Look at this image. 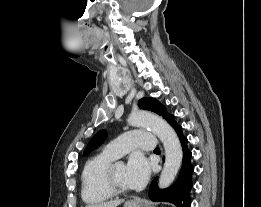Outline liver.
Segmentation results:
<instances>
[{
	"mask_svg": "<svg viewBox=\"0 0 261 207\" xmlns=\"http://www.w3.org/2000/svg\"><path fill=\"white\" fill-rule=\"evenodd\" d=\"M123 202V200H112L108 202H103L100 204H90L85 207H117Z\"/></svg>",
	"mask_w": 261,
	"mask_h": 207,
	"instance_id": "obj_1",
	"label": "liver"
}]
</instances>
